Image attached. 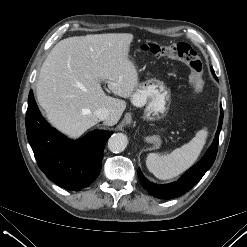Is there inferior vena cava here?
Returning a JSON list of instances; mask_svg holds the SVG:
<instances>
[{"mask_svg": "<svg viewBox=\"0 0 247 247\" xmlns=\"http://www.w3.org/2000/svg\"><path fill=\"white\" fill-rule=\"evenodd\" d=\"M95 115L99 120L103 121L108 119L110 113L109 110L106 108H99L95 111Z\"/></svg>", "mask_w": 247, "mask_h": 247, "instance_id": "inferior-vena-cava-1", "label": "inferior vena cava"}]
</instances>
